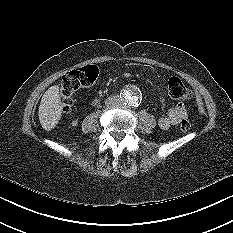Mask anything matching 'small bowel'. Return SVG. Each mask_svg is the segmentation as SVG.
Returning a JSON list of instances; mask_svg holds the SVG:
<instances>
[{"instance_id":"1","label":"small bowel","mask_w":233,"mask_h":233,"mask_svg":"<svg viewBox=\"0 0 233 233\" xmlns=\"http://www.w3.org/2000/svg\"><path fill=\"white\" fill-rule=\"evenodd\" d=\"M187 118V110L183 103H178L170 108L167 113L158 119V126L161 129H169L180 123L182 119Z\"/></svg>"}]
</instances>
